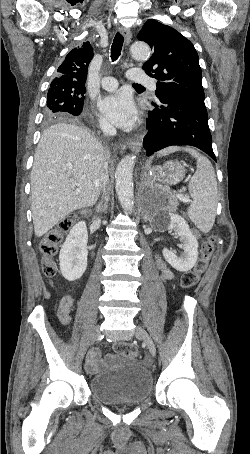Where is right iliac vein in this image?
I'll return each mask as SVG.
<instances>
[{
	"instance_id": "right-iliac-vein-1",
	"label": "right iliac vein",
	"mask_w": 250,
	"mask_h": 454,
	"mask_svg": "<svg viewBox=\"0 0 250 454\" xmlns=\"http://www.w3.org/2000/svg\"><path fill=\"white\" fill-rule=\"evenodd\" d=\"M100 335H101L100 327L97 326L93 332V336L91 339V345H93L99 339Z\"/></svg>"
}]
</instances>
